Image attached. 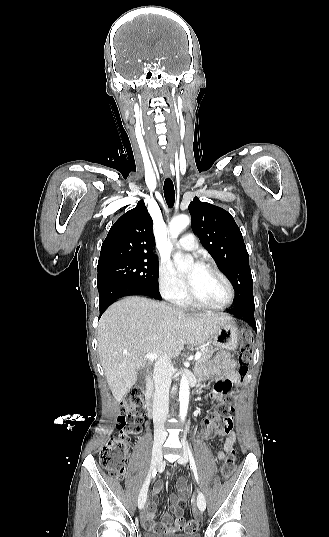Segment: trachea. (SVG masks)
Segmentation results:
<instances>
[{
	"label": "trachea",
	"instance_id": "1",
	"mask_svg": "<svg viewBox=\"0 0 329 537\" xmlns=\"http://www.w3.org/2000/svg\"><path fill=\"white\" fill-rule=\"evenodd\" d=\"M164 197L168 207H172L175 201L174 185L170 178H166L164 182Z\"/></svg>",
	"mask_w": 329,
	"mask_h": 537
}]
</instances>
